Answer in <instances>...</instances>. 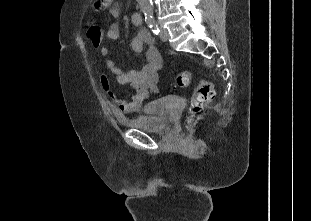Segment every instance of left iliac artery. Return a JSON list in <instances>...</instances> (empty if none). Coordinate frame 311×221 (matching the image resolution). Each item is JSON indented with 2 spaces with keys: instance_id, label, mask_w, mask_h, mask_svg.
<instances>
[{
  "instance_id": "left-iliac-artery-1",
  "label": "left iliac artery",
  "mask_w": 311,
  "mask_h": 221,
  "mask_svg": "<svg viewBox=\"0 0 311 221\" xmlns=\"http://www.w3.org/2000/svg\"><path fill=\"white\" fill-rule=\"evenodd\" d=\"M146 23L154 34H156V35L159 34L160 30H159L158 24L155 21V19H152V18L147 19Z\"/></svg>"
}]
</instances>
